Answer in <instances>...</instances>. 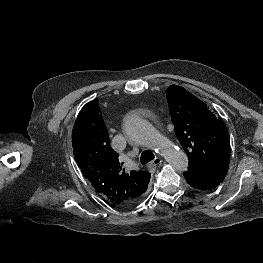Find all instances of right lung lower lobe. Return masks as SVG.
<instances>
[{"label": "right lung lower lobe", "instance_id": "98d812e1", "mask_svg": "<svg viewBox=\"0 0 263 263\" xmlns=\"http://www.w3.org/2000/svg\"><path fill=\"white\" fill-rule=\"evenodd\" d=\"M145 191H146V190H145ZM145 191H144V192H145ZM144 192H142V193L139 194L137 197H135L134 199H132L131 201H129L125 206H131V205L137 203V202L142 198Z\"/></svg>", "mask_w": 263, "mask_h": 263}]
</instances>
